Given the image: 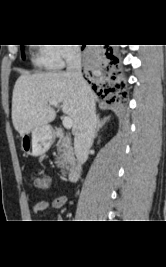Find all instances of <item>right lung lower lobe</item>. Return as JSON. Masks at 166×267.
Returning <instances> with one entry per match:
<instances>
[{"instance_id": "obj_1", "label": "right lung lower lobe", "mask_w": 166, "mask_h": 267, "mask_svg": "<svg viewBox=\"0 0 166 267\" xmlns=\"http://www.w3.org/2000/svg\"><path fill=\"white\" fill-rule=\"evenodd\" d=\"M85 47V45L82 46V49ZM106 56L109 60L110 69L114 68V65L118 63V59L113 55L112 48L106 49ZM107 69H109L107 67ZM124 85L122 83H119L118 76L115 75L113 72V75L109 76V80L93 84L92 88L97 91L98 95L101 97H111V101L117 100L120 98L121 95L124 96L125 93H122L121 90L123 89Z\"/></svg>"}]
</instances>
